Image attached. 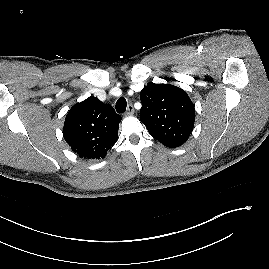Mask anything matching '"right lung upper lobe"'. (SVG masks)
<instances>
[{
	"mask_svg": "<svg viewBox=\"0 0 269 269\" xmlns=\"http://www.w3.org/2000/svg\"><path fill=\"white\" fill-rule=\"evenodd\" d=\"M121 119L112 106L89 97L69 110L63 136L80 157L104 158L117 141Z\"/></svg>",
	"mask_w": 269,
	"mask_h": 269,
	"instance_id": "1",
	"label": "right lung upper lobe"
}]
</instances>
